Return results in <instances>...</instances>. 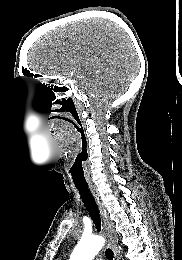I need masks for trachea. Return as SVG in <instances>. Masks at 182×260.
Segmentation results:
<instances>
[{
	"mask_svg": "<svg viewBox=\"0 0 182 260\" xmlns=\"http://www.w3.org/2000/svg\"><path fill=\"white\" fill-rule=\"evenodd\" d=\"M80 193L84 206L86 207L93 223L95 224L98 231L101 230V218L99 215L98 207L96 205L95 199L92 196L88 187H76ZM105 256L108 260H113V251L108 248L105 251Z\"/></svg>",
	"mask_w": 182,
	"mask_h": 260,
	"instance_id": "obj_1",
	"label": "trachea"
}]
</instances>
